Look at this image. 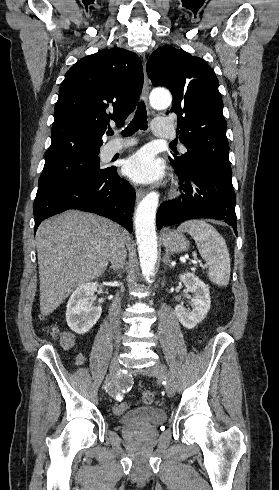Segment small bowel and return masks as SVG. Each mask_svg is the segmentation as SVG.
<instances>
[{"mask_svg": "<svg viewBox=\"0 0 279 490\" xmlns=\"http://www.w3.org/2000/svg\"><path fill=\"white\" fill-rule=\"evenodd\" d=\"M84 361H85V357H84L83 354L80 353V354H78L76 356L75 362H76L77 365H79V366L80 365H83L84 364Z\"/></svg>", "mask_w": 279, "mask_h": 490, "instance_id": "c3829d8e", "label": "small bowel"}]
</instances>
